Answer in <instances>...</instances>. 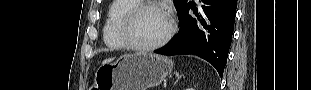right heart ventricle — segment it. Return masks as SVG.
<instances>
[{
    "instance_id": "obj_1",
    "label": "right heart ventricle",
    "mask_w": 311,
    "mask_h": 90,
    "mask_svg": "<svg viewBox=\"0 0 311 90\" xmlns=\"http://www.w3.org/2000/svg\"><path fill=\"white\" fill-rule=\"evenodd\" d=\"M140 3L138 0H115L110 4L103 26V40L108 48L113 50L127 48L119 34L120 23L123 16Z\"/></svg>"
}]
</instances>
